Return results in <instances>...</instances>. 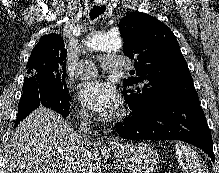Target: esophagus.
Segmentation results:
<instances>
[{
  "label": "esophagus",
  "mask_w": 219,
  "mask_h": 173,
  "mask_svg": "<svg viewBox=\"0 0 219 173\" xmlns=\"http://www.w3.org/2000/svg\"><path fill=\"white\" fill-rule=\"evenodd\" d=\"M107 142H108L109 145H116L118 143V140L115 139L112 136H109L108 139H107Z\"/></svg>",
  "instance_id": "34e87169"
}]
</instances>
